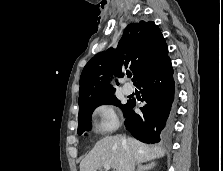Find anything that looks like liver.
Masks as SVG:
<instances>
[{"label": "liver", "mask_w": 223, "mask_h": 171, "mask_svg": "<svg viewBox=\"0 0 223 171\" xmlns=\"http://www.w3.org/2000/svg\"><path fill=\"white\" fill-rule=\"evenodd\" d=\"M127 148L137 163L154 160L165 154L164 149L150 147L134 138H128L127 144H123L119 136H106L81 161L80 171H101L104 164H109L114 171H125Z\"/></svg>", "instance_id": "1"}]
</instances>
